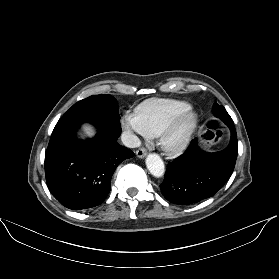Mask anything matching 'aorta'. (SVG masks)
<instances>
[{"label": "aorta", "mask_w": 279, "mask_h": 279, "mask_svg": "<svg viewBox=\"0 0 279 279\" xmlns=\"http://www.w3.org/2000/svg\"><path fill=\"white\" fill-rule=\"evenodd\" d=\"M146 166L149 172L157 178L162 177L165 172L164 162L157 154H149L146 157Z\"/></svg>", "instance_id": "aorta-1"}]
</instances>
